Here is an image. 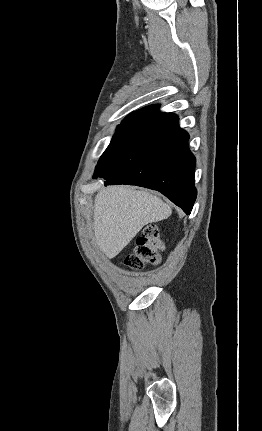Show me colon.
<instances>
[{
    "mask_svg": "<svg viewBox=\"0 0 262 431\" xmlns=\"http://www.w3.org/2000/svg\"><path fill=\"white\" fill-rule=\"evenodd\" d=\"M163 247L159 228L149 225L137 237L133 252L126 255L123 264L130 269H140L146 264H158L159 252Z\"/></svg>",
    "mask_w": 262,
    "mask_h": 431,
    "instance_id": "obj_1",
    "label": "colon"
}]
</instances>
